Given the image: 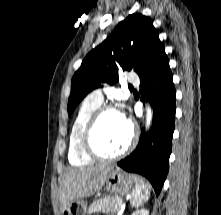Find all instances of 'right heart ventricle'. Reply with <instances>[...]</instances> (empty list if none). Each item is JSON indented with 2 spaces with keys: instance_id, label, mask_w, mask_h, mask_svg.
Listing matches in <instances>:
<instances>
[{
  "instance_id": "e07e8e85",
  "label": "right heart ventricle",
  "mask_w": 221,
  "mask_h": 215,
  "mask_svg": "<svg viewBox=\"0 0 221 215\" xmlns=\"http://www.w3.org/2000/svg\"><path fill=\"white\" fill-rule=\"evenodd\" d=\"M101 104V101L88 96L82 101L74 117L68 140V160L73 166H84L93 161L82 149L81 136L87 121Z\"/></svg>"
}]
</instances>
